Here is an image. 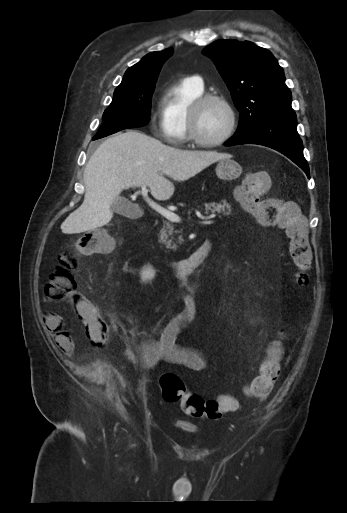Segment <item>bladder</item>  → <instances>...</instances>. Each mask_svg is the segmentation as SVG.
<instances>
[{
	"mask_svg": "<svg viewBox=\"0 0 347 513\" xmlns=\"http://www.w3.org/2000/svg\"><path fill=\"white\" fill-rule=\"evenodd\" d=\"M178 427L183 429V430H186V431H189V432H193L194 431V428L192 426H190L188 423L186 422H183V421H179L177 423Z\"/></svg>",
	"mask_w": 347,
	"mask_h": 513,
	"instance_id": "bladder-1",
	"label": "bladder"
}]
</instances>
